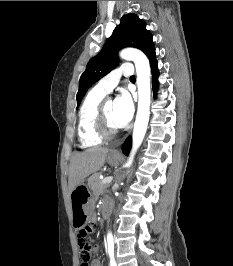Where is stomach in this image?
<instances>
[{
    "label": "stomach",
    "instance_id": "0dacf381",
    "mask_svg": "<svg viewBox=\"0 0 233 266\" xmlns=\"http://www.w3.org/2000/svg\"><path fill=\"white\" fill-rule=\"evenodd\" d=\"M122 156L119 153H109L107 156V162L110 165H118L121 162ZM84 183H81L74 188L71 194V209L73 226L76 228V232H85V228L89 225L90 216L87 209H89V199H92L91 188L89 185L87 188H82Z\"/></svg>",
    "mask_w": 233,
    "mask_h": 266
}]
</instances>
